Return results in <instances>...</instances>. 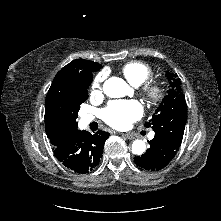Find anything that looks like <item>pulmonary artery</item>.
Listing matches in <instances>:
<instances>
[{"mask_svg": "<svg viewBox=\"0 0 221 221\" xmlns=\"http://www.w3.org/2000/svg\"><path fill=\"white\" fill-rule=\"evenodd\" d=\"M93 119V117L91 115H84L83 118H82V121L85 123V124H88L89 122H91ZM154 132H151L149 134V138L152 139L154 138Z\"/></svg>", "mask_w": 221, "mask_h": 221, "instance_id": "obj_1", "label": "pulmonary artery"}]
</instances>
